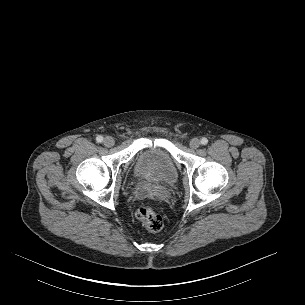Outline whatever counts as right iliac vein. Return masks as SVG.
<instances>
[{
	"mask_svg": "<svg viewBox=\"0 0 305 305\" xmlns=\"http://www.w3.org/2000/svg\"><path fill=\"white\" fill-rule=\"evenodd\" d=\"M104 145L107 147H112L115 143L114 139L110 136L105 137L103 141Z\"/></svg>",
	"mask_w": 305,
	"mask_h": 305,
	"instance_id": "63e3f726",
	"label": "right iliac vein"
}]
</instances>
